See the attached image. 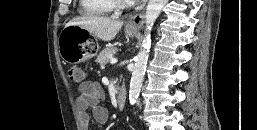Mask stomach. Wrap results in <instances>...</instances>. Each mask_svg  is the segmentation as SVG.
<instances>
[{"label": "stomach", "mask_w": 257, "mask_h": 130, "mask_svg": "<svg viewBox=\"0 0 257 130\" xmlns=\"http://www.w3.org/2000/svg\"><path fill=\"white\" fill-rule=\"evenodd\" d=\"M127 36L137 33V28L125 27ZM59 54L64 62L76 64L94 57L97 53L96 43L90 40V34L81 26H65L59 35Z\"/></svg>", "instance_id": "0dacf381"}]
</instances>
